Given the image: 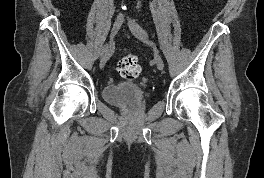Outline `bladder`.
I'll list each match as a JSON object with an SVG mask.
<instances>
[{"label": "bladder", "mask_w": 264, "mask_h": 178, "mask_svg": "<svg viewBox=\"0 0 264 178\" xmlns=\"http://www.w3.org/2000/svg\"><path fill=\"white\" fill-rule=\"evenodd\" d=\"M142 98V86L131 81L108 84L103 89V99L113 106H135L141 102Z\"/></svg>", "instance_id": "1"}]
</instances>
